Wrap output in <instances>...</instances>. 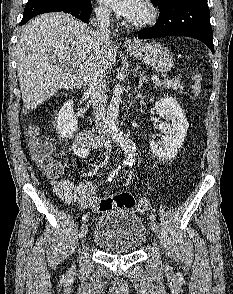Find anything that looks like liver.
I'll list each match as a JSON object with an SVG mask.
<instances>
[{
  "label": "liver",
  "instance_id": "6515ba94",
  "mask_svg": "<svg viewBox=\"0 0 233 294\" xmlns=\"http://www.w3.org/2000/svg\"><path fill=\"white\" fill-rule=\"evenodd\" d=\"M95 33L86 24L63 13L43 14L24 27L17 45V72L24 106L33 110L60 89L88 82V69L98 52L111 67L118 48L96 45Z\"/></svg>",
  "mask_w": 233,
  "mask_h": 294
}]
</instances>
